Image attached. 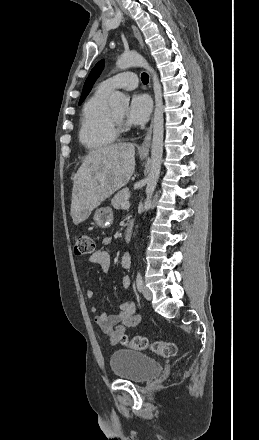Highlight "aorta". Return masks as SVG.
I'll return each mask as SVG.
<instances>
[{
  "mask_svg": "<svg viewBox=\"0 0 259 440\" xmlns=\"http://www.w3.org/2000/svg\"><path fill=\"white\" fill-rule=\"evenodd\" d=\"M119 69H127L130 67L145 68L152 76L153 90L155 97V110L153 117V140L151 146V168L147 177L146 200L144 202V211L151 207V199L155 191L157 181L160 175L162 153H163V134H164V118H163V99L162 90L156 72L149 66L148 62L137 53L122 54L116 61ZM129 96L122 92L115 91L109 99V104L113 108L126 109L129 106Z\"/></svg>",
  "mask_w": 259,
  "mask_h": 440,
  "instance_id": "1",
  "label": "aorta"
}]
</instances>
